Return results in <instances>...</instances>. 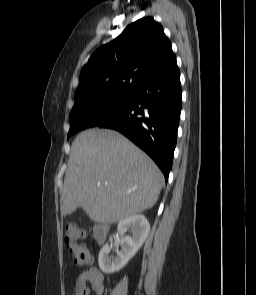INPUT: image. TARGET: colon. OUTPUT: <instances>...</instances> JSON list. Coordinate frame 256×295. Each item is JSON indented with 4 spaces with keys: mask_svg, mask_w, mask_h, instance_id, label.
Here are the masks:
<instances>
[{
    "mask_svg": "<svg viewBox=\"0 0 256 295\" xmlns=\"http://www.w3.org/2000/svg\"><path fill=\"white\" fill-rule=\"evenodd\" d=\"M84 231L75 223L69 222L64 228V240L67 248L72 253L76 265H87L92 262L89 252L83 247ZM73 295H77L74 293Z\"/></svg>",
    "mask_w": 256,
    "mask_h": 295,
    "instance_id": "5ec220e1",
    "label": "colon"
}]
</instances>
